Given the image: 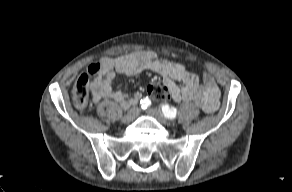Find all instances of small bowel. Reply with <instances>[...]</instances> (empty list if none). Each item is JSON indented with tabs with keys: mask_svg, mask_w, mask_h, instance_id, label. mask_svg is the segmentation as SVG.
<instances>
[{
	"mask_svg": "<svg viewBox=\"0 0 292 192\" xmlns=\"http://www.w3.org/2000/svg\"><path fill=\"white\" fill-rule=\"evenodd\" d=\"M102 63V71L90 84L95 103L102 99H111L123 108L137 103L141 93L137 92L130 97L113 88L115 75H137L152 71L162 76L164 87L168 89L173 101H193L208 113L216 111L219 106L220 90L210 74L205 73L201 82L199 77L187 70L183 64L161 58L152 51H134L116 58H105ZM176 82L182 85L179 86Z\"/></svg>",
	"mask_w": 292,
	"mask_h": 192,
	"instance_id": "small-bowel-1",
	"label": "small bowel"
}]
</instances>
